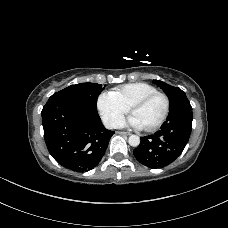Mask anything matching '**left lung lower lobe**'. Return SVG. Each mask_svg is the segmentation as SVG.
I'll list each match as a JSON object with an SVG mask.
<instances>
[{
    "instance_id": "left-lung-lower-lobe-1",
    "label": "left lung lower lobe",
    "mask_w": 228,
    "mask_h": 228,
    "mask_svg": "<svg viewBox=\"0 0 228 228\" xmlns=\"http://www.w3.org/2000/svg\"><path fill=\"white\" fill-rule=\"evenodd\" d=\"M192 107L188 100L169 112L161 130L141 137L133 150L135 158L149 168H162L172 163L184 150L192 130Z\"/></svg>"
}]
</instances>
